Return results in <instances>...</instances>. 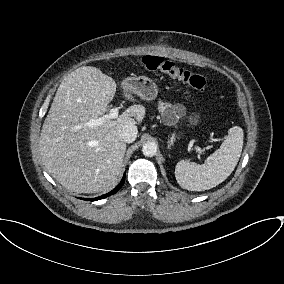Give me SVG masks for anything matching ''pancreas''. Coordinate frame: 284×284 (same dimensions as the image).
<instances>
[{"label":"pancreas","instance_id":"obj_1","mask_svg":"<svg viewBox=\"0 0 284 284\" xmlns=\"http://www.w3.org/2000/svg\"><path fill=\"white\" fill-rule=\"evenodd\" d=\"M158 110L161 112L163 122L167 125H174L178 122L179 117L184 115L185 107L183 105L177 104V105H171L169 103H164L162 101H159L158 103ZM168 113H173L175 115V118L173 120L167 119Z\"/></svg>","mask_w":284,"mask_h":284}]
</instances>
